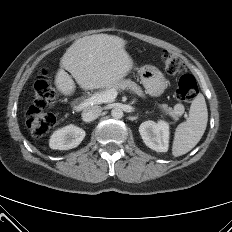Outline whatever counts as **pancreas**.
Wrapping results in <instances>:
<instances>
[{
    "label": "pancreas",
    "instance_id": "obj_1",
    "mask_svg": "<svg viewBox=\"0 0 232 232\" xmlns=\"http://www.w3.org/2000/svg\"><path fill=\"white\" fill-rule=\"evenodd\" d=\"M121 90V89H130L132 91H134L135 93H137L138 95L144 97L143 91L140 88V86H138L135 82L131 81V80H121L119 82H117L116 84L107 87L104 90L98 91L95 93V95L97 94H103L105 92H108L109 90ZM160 108L162 109L163 112H165V114L171 116L175 121H177L180 117V114L177 113L173 108L168 107V105L166 104H162L160 105Z\"/></svg>",
    "mask_w": 232,
    "mask_h": 232
}]
</instances>
